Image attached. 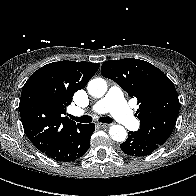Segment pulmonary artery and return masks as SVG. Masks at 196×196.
Here are the masks:
<instances>
[{"label":"pulmonary artery","instance_id":"1","mask_svg":"<svg viewBox=\"0 0 196 196\" xmlns=\"http://www.w3.org/2000/svg\"><path fill=\"white\" fill-rule=\"evenodd\" d=\"M88 114H103L110 112L123 126L129 129H136L138 121L128 108L123 93L119 88H111L106 96L86 110ZM82 111L80 115L84 114Z\"/></svg>","mask_w":196,"mask_h":196}]
</instances>
